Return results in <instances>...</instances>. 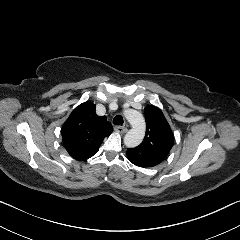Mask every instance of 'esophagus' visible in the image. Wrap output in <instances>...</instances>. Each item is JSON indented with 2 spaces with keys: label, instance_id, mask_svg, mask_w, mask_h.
I'll return each instance as SVG.
<instances>
[{
  "label": "esophagus",
  "instance_id": "34e87169",
  "mask_svg": "<svg viewBox=\"0 0 240 240\" xmlns=\"http://www.w3.org/2000/svg\"><path fill=\"white\" fill-rule=\"evenodd\" d=\"M115 132L117 133H126L127 132V128L121 125H117L114 127Z\"/></svg>",
  "mask_w": 240,
  "mask_h": 240
}]
</instances>
